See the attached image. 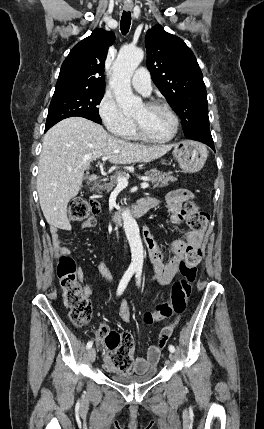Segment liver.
<instances>
[{"label":"liver","instance_id":"6515ba94","mask_svg":"<svg viewBox=\"0 0 264 429\" xmlns=\"http://www.w3.org/2000/svg\"><path fill=\"white\" fill-rule=\"evenodd\" d=\"M173 146L130 143L82 117L60 121L44 135L39 158L37 191L45 219L51 227L71 230L67 205L79 193L84 171L97 158L108 156L113 164L151 162Z\"/></svg>","mask_w":264,"mask_h":429}]
</instances>
